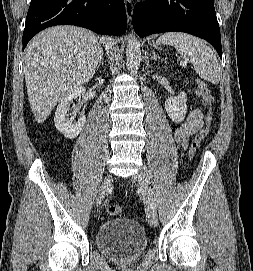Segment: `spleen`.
Returning a JSON list of instances; mask_svg holds the SVG:
<instances>
[{
  "label": "spleen",
  "mask_w": 253,
  "mask_h": 271,
  "mask_svg": "<svg viewBox=\"0 0 253 271\" xmlns=\"http://www.w3.org/2000/svg\"><path fill=\"white\" fill-rule=\"evenodd\" d=\"M157 43L174 46L183 57L190 59L198 75L213 84L220 81V65L214 51L201 39L182 32H167Z\"/></svg>",
  "instance_id": "3e777b00"
}]
</instances>
